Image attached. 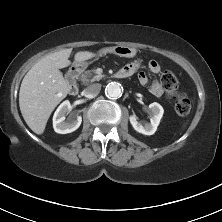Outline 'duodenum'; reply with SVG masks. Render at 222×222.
I'll list each match as a JSON object with an SVG mask.
<instances>
[{
	"mask_svg": "<svg viewBox=\"0 0 222 222\" xmlns=\"http://www.w3.org/2000/svg\"><path fill=\"white\" fill-rule=\"evenodd\" d=\"M82 71H83V68L80 65H76V66L72 67L70 70V76H71L72 83L69 87V92L71 95H77L79 92V86L77 84V79L81 75ZM130 74L131 73L129 71H124V70L120 69L119 71H117L114 74V77L126 78V77L130 76Z\"/></svg>",
	"mask_w": 222,
	"mask_h": 222,
	"instance_id": "1",
	"label": "duodenum"
}]
</instances>
